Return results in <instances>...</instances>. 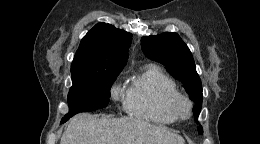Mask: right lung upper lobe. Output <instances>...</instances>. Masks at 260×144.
I'll return each instance as SVG.
<instances>
[{
    "instance_id": "right-lung-upper-lobe-1",
    "label": "right lung upper lobe",
    "mask_w": 260,
    "mask_h": 144,
    "mask_svg": "<svg viewBox=\"0 0 260 144\" xmlns=\"http://www.w3.org/2000/svg\"><path fill=\"white\" fill-rule=\"evenodd\" d=\"M132 34L104 22L82 39L71 64L72 75L122 70L128 59Z\"/></svg>"
}]
</instances>
